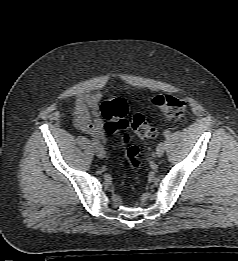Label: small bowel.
<instances>
[{
  "mask_svg": "<svg viewBox=\"0 0 238 261\" xmlns=\"http://www.w3.org/2000/svg\"><path fill=\"white\" fill-rule=\"evenodd\" d=\"M101 101L102 97L98 93L85 94L76 99L73 109V121L76 128L89 134L98 142L105 140Z\"/></svg>",
  "mask_w": 238,
  "mask_h": 261,
  "instance_id": "1",
  "label": "small bowel"
}]
</instances>
